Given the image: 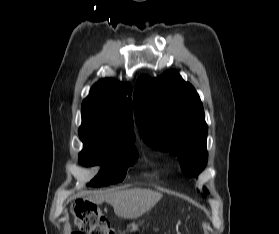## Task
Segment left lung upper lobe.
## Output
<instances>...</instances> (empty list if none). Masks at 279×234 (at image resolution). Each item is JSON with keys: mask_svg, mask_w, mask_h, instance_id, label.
Returning <instances> with one entry per match:
<instances>
[{"mask_svg": "<svg viewBox=\"0 0 279 234\" xmlns=\"http://www.w3.org/2000/svg\"><path fill=\"white\" fill-rule=\"evenodd\" d=\"M134 112L139 133L153 149L171 151L188 177L206 166L208 127L200 97L175 70L152 79L138 78ZM206 192V191H205Z\"/></svg>", "mask_w": 279, "mask_h": 234, "instance_id": "1", "label": "left lung upper lobe"}]
</instances>
